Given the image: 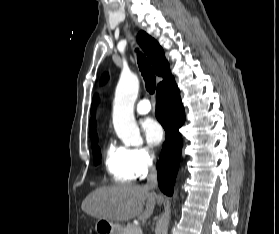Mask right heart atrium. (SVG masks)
Segmentation results:
<instances>
[{"label":"right heart atrium","mask_w":279,"mask_h":234,"mask_svg":"<svg viewBox=\"0 0 279 234\" xmlns=\"http://www.w3.org/2000/svg\"><path fill=\"white\" fill-rule=\"evenodd\" d=\"M131 162L137 176L146 174L155 162V152L149 145L130 148Z\"/></svg>","instance_id":"1"}]
</instances>
